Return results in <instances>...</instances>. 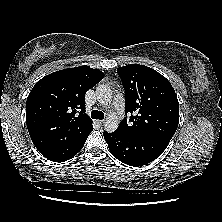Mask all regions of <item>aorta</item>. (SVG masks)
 Returning a JSON list of instances; mask_svg holds the SVG:
<instances>
[{
	"mask_svg": "<svg viewBox=\"0 0 222 222\" xmlns=\"http://www.w3.org/2000/svg\"><path fill=\"white\" fill-rule=\"evenodd\" d=\"M97 100L104 105L111 104L112 101V90L107 85H99L96 88ZM118 117L112 112L109 113L104 122V128L107 132H114L118 128Z\"/></svg>",
	"mask_w": 222,
	"mask_h": 222,
	"instance_id": "1",
	"label": "aorta"
}]
</instances>
